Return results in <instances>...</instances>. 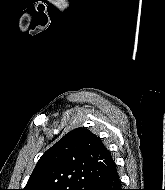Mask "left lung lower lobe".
I'll return each instance as SVG.
<instances>
[{
    "label": "left lung lower lobe",
    "mask_w": 165,
    "mask_h": 190,
    "mask_svg": "<svg viewBox=\"0 0 165 190\" xmlns=\"http://www.w3.org/2000/svg\"><path fill=\"white\" fill-rule=\"evenodd\" d=\"M93 190H123L117 172L116 164L110 169L105 177L93 188Z\"/></svg>",
    "instance_id": "obj_1"
}]
</instances>
